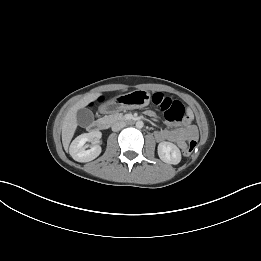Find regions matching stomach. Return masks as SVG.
<instances>
[{
    "label": "stomach",
    "instance_id": "stomach-1",
    "mask_svg": "<svg viewBox=\"0 0 261 261\" xmlns=\"http://www.w3.org/2000/svg\"><path fill=\"white\" fill-rule=\"evenodd\" d=\"M149 102V92L146 90H135L107 101L100 107V111L104 114H112L122 110L143 108Z\"/></svg>",
    "mask_w": 261,
    "mask_h": 261
}]
</instances>
